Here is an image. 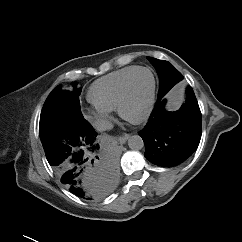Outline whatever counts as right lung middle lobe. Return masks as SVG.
<instances>
[{
  "label": "right lung middle lobe",
  "mask_w": 242,
  "mask_h": 242,
  "mask_svg": "<svg viewBox=\"0 0 242 242\" xmlns=\"http://www.w3.org/2000/svg\"><path fill=\"white\" fill-rule=\"evenodd\" d=\"M72 85L73 91H64L60 85L57 86L45 101L39 124L44 150L54 140L91 127L80 111L79 95L82 89L77 88V82Z\"/></svg>",
  "instance_id": "1"
}]
</instances>
